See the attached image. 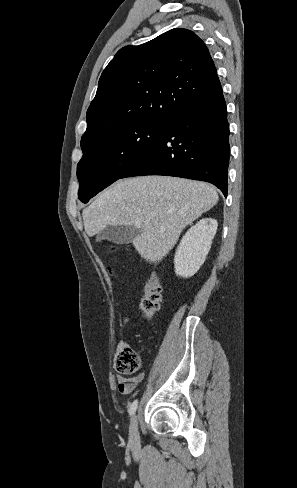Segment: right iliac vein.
I'll use <instances>...</instances> for the list:
<instances>
[{
	"instance_id": "63e3f726",
	"label": "right iliac vein",
	"mask_w": 297,
	"mask_h": 488,
	"mask_svg": "<svg viewBox=\"0 0 297 488\" xmlns=\"http://www.w3.org/2000/svg\"><path fill=\"white\" fill-rule=\"evenodd\" d=\"M129 444L132 447H137L139 445L138 420L136 416H133L131 419L129 427Z\"/></svg>"
}]
</instances>
